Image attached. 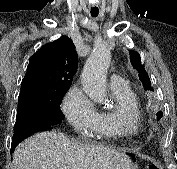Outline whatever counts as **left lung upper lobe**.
Here are the masks:
<instances>
[{"label": "left lung upper lobe", "instance_id": "obj_1", "mask_svg": "<svg viewBox=\"0 0 177 169\" xmlns=\"http://www.w3.org/2000/svg\"><path fill=\"white\" fill-rule=\"evenodd\" d=\"M130 61L132 66L139 72V79L142 82L143 86L147 90H152L151 80L145 70V68L141 65L140 55L136 51H129Z\"/></svg>", "mask_w": 177, "mask_h": 169}]
</instances>
